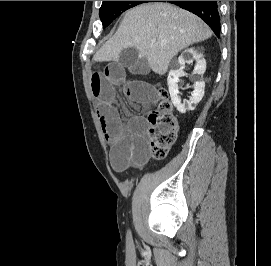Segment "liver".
Returning <instances> with one entry per match:
<instances>
[{
	"instance_id": "1",
	"label": "liver",
	"mask_w": 271,
	"mask_h": 266,
	"mask_svg": "<svg viewBox=\"0 0 271 266\" xmlns=\"http://www.w3.org/2000/svg\"><path fill=\"white\" fill-rule=\"evenodd\" d=\"M212 35L196 15L168 3H147L126 12L117 32L94 55L96 62H117L121 52L136 48L152 71L164 75L179 51Z\"/></svg>"
}]
</instances>
